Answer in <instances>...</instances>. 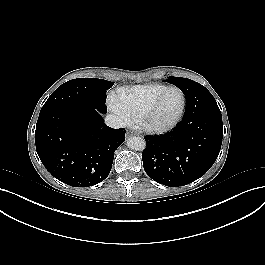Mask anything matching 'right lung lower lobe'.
<instances>
[{
  "label": "right lung lower lobe",
  "instance_id": "obj_1",
  "mask_svg": "<svg viewBox=\"0 0 265 265\" xmlns=\"http://www.w3.org/2000/svg\"><path fill=\"white\" fill-rule=\"evenodd\" d=\"M100 113L105 112L67 105L41 109L36 150L46 169L61 182L89 187L109 175L125 130L107 126Z\"/></svg>",
  "mask_w": 265,
  "mask_h": 265
}]
</instances>
